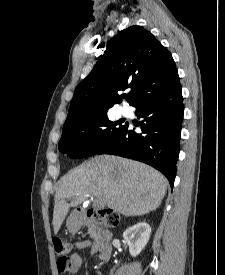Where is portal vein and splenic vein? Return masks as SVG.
I'll return each mask as SVG.
<instances>
[{
    "label": "portal vein and splenic vein",
    "mask_w": 225,
    "mask_h": 275,
    "mask_svg": "<svg viewBox=\"0 0 225 275\" xmlns=\"http://www.w3.org/2000/svg\"><path fill=\"white\" fill-rule=\"evenodd\" d=\"M97 205H98V206H103V205H102L100 202H98V201H97Z\"/></svg>",
    "instance_id": "18ae733b"
}]
</instances>
